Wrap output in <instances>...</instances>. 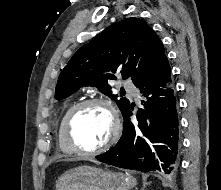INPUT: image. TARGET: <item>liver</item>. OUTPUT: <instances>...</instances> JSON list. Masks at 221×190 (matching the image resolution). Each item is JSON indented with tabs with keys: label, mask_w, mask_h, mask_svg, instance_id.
<instances>
[{
	"label": "liver",
	"mask_w": 221,
	"mask_h": 190,
	"mask_svg": "<svg viewBox=\"0 0 221 190\" xmlns=\"http://www.w3.org/2000/svg\"><path fill=\"white\" fill-rule=\"evenodd\" d=\"M87 158L85 157H77V158H70V159H65L64 161H77V160H85Z\"/></svg>",
	"instance_id": "1"
}]
</instances>
